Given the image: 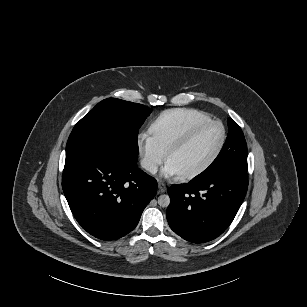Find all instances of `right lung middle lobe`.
<instances>
[{"label":"right lung middle lobe","mask_w":307,"mask_h":307,"mask_svg":"<svg viewBox=\"0 0 307 307\" xmlns=\"http://www.w3.org/2000/svg\"><path fill=\"white\" fill-rule=\"evenodd\" d=\"M151 109L116 98L99 102L73 128L66 155L81 149L102 146L137 162L138 132Z\"/></svg>","instance_id":"right-lung-middle-lobe-1"}]
</instances>
